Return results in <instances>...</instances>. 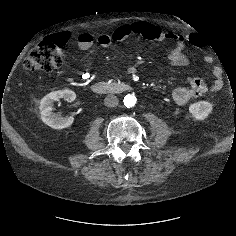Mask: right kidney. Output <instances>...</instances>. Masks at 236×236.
I'll list each match as a JSON object with an SVG mask.
<instances>
[{
  "mask_svg": "<svg viewBox=\"0 0 236 236\" xmlns=\"http://www.w3.org/2000/svg\"><path fill=\"white\" fill-rule=\"evenodd\" d=\"M61 98L68 102H72L75 100L76 94L74 91L69 89L53 91L44 96L40 101L39 109L41 119L45 124L54 129L69 127L74 122V118L72 116L61 117L52 112L54 101H58Z\"/></svg>",
  "mask_w": 236,
  "mask_h": 236,
  "instance_id": "right-kidney-1",
  "label": "right kidney"
}]
</instances>
